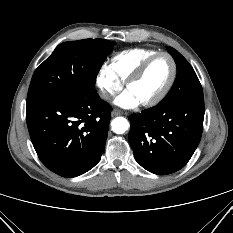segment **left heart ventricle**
<instances>
[{"instance_id":"obj_1","label":"left heart ventricle","mask_w":233,"mask_h":233,"mask_svg":"<svg viewBox=\"0 0 233 233\" xmlns=\"http://www.w3.org/2000/svg\"><path fill=\"white\" fill-rule=\"evenodd\" d=\"M172 74V64L167 57H159L146 70L140 80L127 87L139 100L154 98L165 87Z\"/></svg>"}]
</instances>
